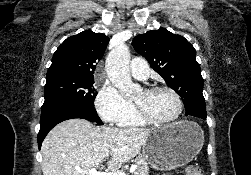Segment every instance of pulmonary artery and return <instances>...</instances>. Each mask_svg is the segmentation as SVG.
<instances>
[{
	"instance_id": "obj_1",
	"label": "pulmonary artery",
	"mask_w": 251,
	"mask_h": 175,
	"mask_svg": "<svg viewBox=\"0 0 251 175\" xmlns=\"http://www.w3.org/2000/svg\"><path fill=\"white\" fill-rule=\"evenodd\" d=\"M131 75L137 79H147L149 76L148 62L145 58H135L134 62H130Z\"/></svg>"
}]
</instances>
